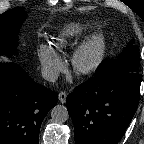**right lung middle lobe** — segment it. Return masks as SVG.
Masks as SVG:
<instances>
[{"instance_id": "1", "label": "right lung middle lobe", "mask_w": 144, "mask_h": 144, "mask_svg": "<svg viewBox=\"0 0 144 144\" xmlns=\"http://www.w3.org/2000/svg\"><path fill=\"white\" fill-rule=\"evenodd\" d=\"M26 18L22 8H13L0 15V55L12 53L16 46V34Z\"/></svg>"}]
</instances>
